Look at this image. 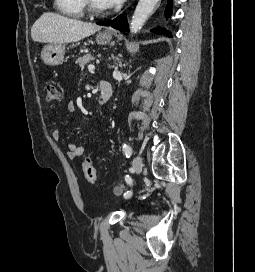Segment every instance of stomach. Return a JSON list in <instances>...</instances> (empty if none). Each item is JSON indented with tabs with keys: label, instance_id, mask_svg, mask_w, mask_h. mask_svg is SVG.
Masks as SVG:
<instances>
[{
	"label": "stomach",
	"instance_id": "stomach-1",
	"mask_svg": "<svg viewBox=\"0 0 255 272\" xmlns=\"http://www.w3.org/2000/svg\"><path fill=\"white\" fill-rule=\"evenodd\" d=\"M112 40V35L107 32H100L96 35L98 44L106 45ZM65 54V45L50 44L41 51V59L46 65L57 66L63 63Z\"/></svg>",
	"mask_w": 255,
	"mask_h": 272
}]
</instances>
